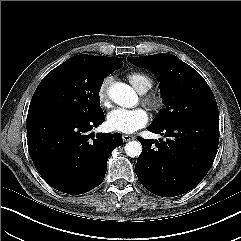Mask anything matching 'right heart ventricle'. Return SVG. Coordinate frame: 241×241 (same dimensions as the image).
Returning a JSON list of instances; mask_svg holds the SVG:
<instances>
[{
    "label": "right heart ventricle",
    "mask_w": 241,
    "mask_h": 241,
    "mask_svg": "<svg viewBox=\"0 0 241 241\" xmlns=\"http://www.w3.org/2000/svg\"><path fill=\"white\" fill-rule=\"evenodd\" d=\"M126 77L139 93H146L153 86V79L144 72L132 71Z\"/></svg>",
    "instance_id": "right-heart-ventricle-1"
}]
</instances>
